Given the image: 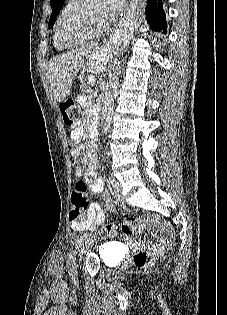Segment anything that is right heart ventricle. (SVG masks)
Returning a JSON list of instances; mask_svg holds the SVG:
<instances>
[{"label": "right heart ventricle", "instance_id": "obj_1", "mask_svg": "<svg viewBox=\"0 0 227 315\" xmlns=\"http://www.w3.org/2000/svg\"><path fill=\"white\" fill-rule=\"evenodd\" d=\"M76 1L77 0H67V2L65 3V5L63 6V8L61 9V11H60V13L58 15V19H57V22H56V28H57L58 23L63 18V16L71 8V6L76 3ZM54 45L59 50H64V49L67 48V46H64L63 44L60 43V41L58 39V36H57V33H56V30H55V35H54Z\"/></svg>", "mask_w": 227, "mask_h": 315}]
</instances>
